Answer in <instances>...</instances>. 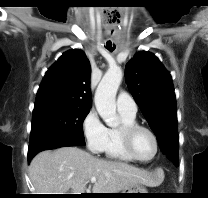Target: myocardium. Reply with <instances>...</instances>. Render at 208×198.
Listing matches in <instances>:
<instances>
[{"instance_id":"1","label":"myocardium","mask_w":208,"mask_h":198,"mask_svg":"<svg viewBox=\"0 0 208 198\" xmlns=\"http://www.w3.org/2000/svg\"><path fill=\"white\" fill-rule=\"evenodd\" d=\"M138 130H145L147 131L153 138L154 143H155V151L154 154L151 158L149 159H142L140 158L134 148H133V137L135 135V133ZM120 134H121V139H122V143L123 146L125 148V150L127 151V153L136 161L138 162H142V163H147V162H151L153 159H155V157L157 156L158 152H159V140L158 137L156 135V133L148 126L139 124V123H133V124H126L121 126L120 128Z\"/></svg>"}]
</instances>
